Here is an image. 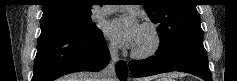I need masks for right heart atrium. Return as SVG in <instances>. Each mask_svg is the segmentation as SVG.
Here are the masks:
<instances>
[{"label":"right heart atrium","instance_id":"right-heart-atrium-1","mask_svg":"<svg viewBox=\"0 0 237 81\" xmlns=\"http://www.w3.org/2000/svg\"><path fill=\"white\" fill-rule=\"evenodd\" d=\"M110 51L115 54L117 52V46L115 44H111Z\"/></svg>","mask_w":237,"mask_h":81}]
</instances>
